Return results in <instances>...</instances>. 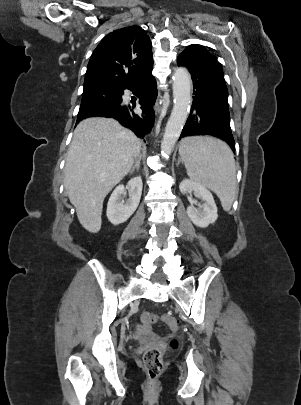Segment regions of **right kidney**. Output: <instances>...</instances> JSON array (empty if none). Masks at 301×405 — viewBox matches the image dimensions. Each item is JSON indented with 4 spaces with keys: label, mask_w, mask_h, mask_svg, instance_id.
<instances>
[{
    "label": "right kidney",
    "mask_w": 301,
    "mask_h": 405,
    "mask_svg": "<svg viewBox=\"0 0 301 405\" xmlns=\"http://www.w3.org/2000/svg\"><path fill=\"white\" fill-rule=\"evenodd\" d=\"M130 187V198L126 202L121 200L125 187L119 185L111 194L107 204V218L113 225H119L127 221L137 209L142 194V178L140 176L132 178L128 182Z\"/></svg>",
    "instance_id": "1"
}]
</instances>
